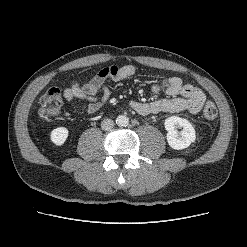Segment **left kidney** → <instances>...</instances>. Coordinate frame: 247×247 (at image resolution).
Returning <instances> with one entry per match:
<instances>
[{"label": "left kidney", "instance_id": "left-kidney-1", "mask_svg": "<svg viewBox=\"0 0 247 247\" xmlns=\"http://www.w3.org/2000/svg\"><path fill=\"white\" fill-rule=\"evenodd\" d=\"M164 126L167 130V142L173 149H185L196 139L195 129L187 119L171 116L165 120ZM177 128L182 130L179 132Z\"/></svg>", "mask_w": 247, "mask_h": 247}]
</instances>
